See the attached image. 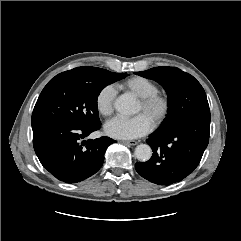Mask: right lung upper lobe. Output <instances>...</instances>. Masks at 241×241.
<instances>
[{"mask_svg": "<svg viewBox=\"0 0 241 241\" xmlns=\"http://www.w3.org/2000/svg\"><path fill=\"white\" fill-rule=\"evenodd\" d=\"M96 67H77L69 71H65L63 73L70 74V75H76V76H83V77H90L93 76L96 72Z\"/></svg>", "mask_w": 241, "mask_h": 241, "instance_id": "1", "label": "right lung upper lobe"}]
</instances>
